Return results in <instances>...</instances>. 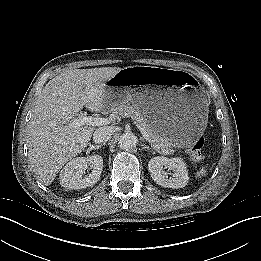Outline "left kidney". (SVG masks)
I'll use <instances>...</instances> for the list:
<instances>
[{
	"label": "left kidney",
	"instance_id": "left-kidney-1",
	"mask_svg": "<svg viewBox=\"0 0 261 261\" xmlns=\"http://www.w3.org/2000/svg\"><path fill=\"white\" fill-rule=\"evenodd\" d=\"M148 170L152 179L165 188H183L189 180L186 163L180 157H154L148 163ZM169 171L173 172L172 177L169 176Z\"/></svg>",
	"mask_w": 261,
	"mask_h": 261
}]
</instances>
